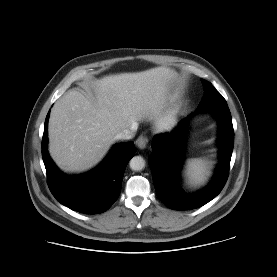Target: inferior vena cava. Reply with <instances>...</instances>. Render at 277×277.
<instances>
[{
  "instance_id": "1",
  "label": "inferior vena cava",
  "mask_w": 277,
  "mask_h": 277,
  "mask_svg": "<svg viewBox=\"0 0 277 277\" xmlns=\"http://www.w3.org/2000/svg\"><path fill=\"white\" fill-rule=\"evenodd\" d=\"M137 130V126L133 125L129 129H125L121 132H119L115 138L116 139H122V140H129L133 137L134 132Z\"/></svg>"
}]
</instances>
